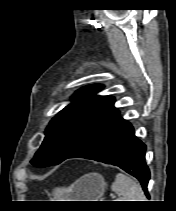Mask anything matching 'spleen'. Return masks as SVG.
<instances>
[{
    "label": "spleen",
    "mask_w": 176,
    "mask_h": 211,
    "mask_svg": "<svg viewBox=\"0 0 176 211\" xmlns=\"http://www.w3.org/2000/svg\"><path fill=\"white\" fill-rule=\"evenodd\" d=\"M111 189L119 194L117 201H146L140 184L123 173L116 175Z\"/></svg>",
    "instance_id": "3e777b00"
}]
</instances>
